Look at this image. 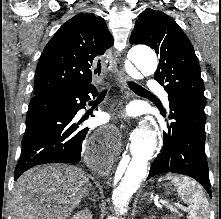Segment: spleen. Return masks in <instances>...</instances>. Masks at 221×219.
Returning a JSON list of instances; mask_svg holds the SVG:
<instances>
[{"mask_svg":"<svg viewBox=\"0 0 221 219\" xmlns=\"http://www.w3.org/2000/svg\"><path fill=\"white\" fill-rule=\"evenodd\" d=\"M165 179L172 180L178 194L189 206L188 219H209V202L199 184L185 176L168 175Z\"/></svg>","mask_w":221,"mask_h":219,"instance_id":"1","label":"spleen"}]
</instances>
